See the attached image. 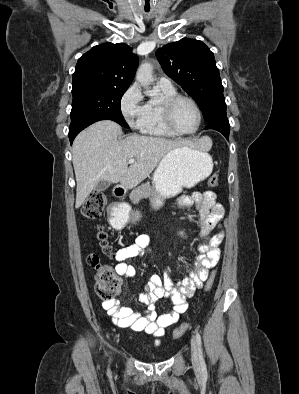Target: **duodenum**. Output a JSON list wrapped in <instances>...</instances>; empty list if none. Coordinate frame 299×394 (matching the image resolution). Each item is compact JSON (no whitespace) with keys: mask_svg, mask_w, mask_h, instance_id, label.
<instances>
[{"mask_svg":"<svg viewBox=\"0 0 299 394\" xmlns=\"http://www.w3.org/2000/svg\"><path fill=\"white\" fill-rule=\"evenodd\" d=\"M115 192H116V194H117L118 196H121V195H123L124 192H125V187H124L123 185H118V186L116 187ZM111 217H112V219H115V213H114V211H112Z\"/></svg>","mask_w":299,"mask_h":394,"instance_id":"obj_1","label":"duodenum"}]
</instances>
